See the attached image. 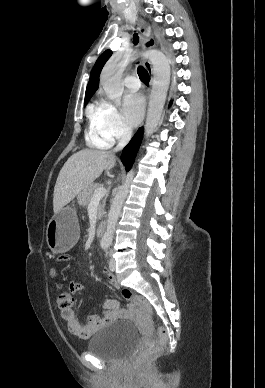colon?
Returning a JSON list of instances; mask_svg holds the SVG:
<instances>
[{
    "label": "colon",
    "mask_w": 265,
    "mask_h": 388,
    "mask_svg": "<svg viewBox=\"0 0 265 388\" xmlns=\"http://www.w3.org/2000/svg\"><path fill=\"white\" fill-rule=\"evenodd\" d=\"M121 295L124 299L136 304L148 319L151 318L152 307L145 298L134 294L129 289H123L121 292ZM73 304H74V297L72 292L64 290L62 287H59L58 296H57L58 307L64 310V309L71 308ZM167 339H168L167 330L163 326H158L157 338L149 341L145 348L135 349L131 354V360L133 362H138L144 356L158 351L160 347L167 341Z\"/></svg>",
    "instance_id": "1"
}]
</instances>
